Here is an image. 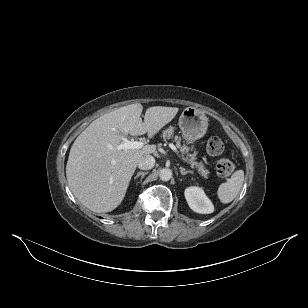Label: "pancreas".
<instances>
[{"instance_id":"1","label":"pancreas","mask_w":308,"mask_h":308,"mask_svg":"<svg viewBox=\"0 0 308 308\" xmlns=\"http://www.w3.org/2000/svg\"><path fill=\"white\" fill-rule=\"evenodd\" d=\"M161 137H163L164 140L174 137L176 147L180 149L182 154L187 155L186 161L190 164L191 168H195L197 172L204 178L207 177L209 171L205 168V165L202 162L195 161V154H188L190 148L185 144H181L180 137H178L177 135L174 136V129L172 127L163 130Z\"/></svg>"}]
</instances>
